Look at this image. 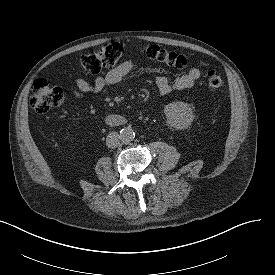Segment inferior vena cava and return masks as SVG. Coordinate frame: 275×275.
<instances>
[{
  "label": "inferior vena cava",
  "mask_w": 275,
  "mask_h": 275,
  "mask_svg": "<svg viewBox=\"0 0 275 275\" xmlns=\"http://www.w3.org/2000/svg\"><path fill=\"white\" fill-rule=\"evenodd\" d=\"M120 144V136L117 132H110L106 138V145L109 148H116Z\"/></svg>",
  "instance_id": "obj_1"
}]
</instances>
